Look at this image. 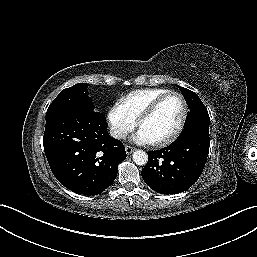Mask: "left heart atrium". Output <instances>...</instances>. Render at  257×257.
Returning a JSON list of instances; mask_svg holds the SVG:
<instances>
[{
	"label": "left heart atrium",
	"instance_id": "39dd6f15",
	"mask_svg": "<svg viewBox=\"0 0 257 257\" xmlns=\"http://www.w3.org/2000/svg\"><path fill=\"white\" fill-rule=\"evenodd\" d=\"M133 141H135L138 144H152L153 143L151 141V139L141 129H139L133 135Z\"/></svg>",
	"mask_w": 257,
	"mask_h": 257
}]
</instances>
